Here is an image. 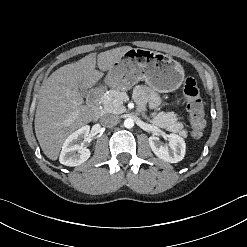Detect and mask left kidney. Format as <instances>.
I'll use <instances>...</instances> for the list:
<instances>
[{
  "mask_svg": "<svg viewBox=\"0 0 247 247\" xmlns=\"http://www.w3.org/2000/svg\"><path fill=\"white\" fill-rule=\"evenodd\" d=\"M168 144H163L156 136L149 137V145L153 153L169 163H177L184 158L186 145L182 137L176 134L167 135Z\"/></svg>",
  "mask_w": 247,
  "mask_h": 247,
  "instance_id": "5707ae66",
  "label": "left kidney"
}]
</instances>
